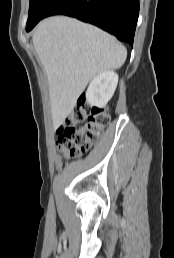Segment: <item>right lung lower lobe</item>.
Here are the masks:
<instances>
[{"mask_svg":"<svg viewBox=\"0 0 174 258\" xmlns=\"http://www.w3.org/2000/svg\"><path fill=\"white\" fill-rule=\"evenodd\" d=\"M52 15H67L94 24L132 46L139 0H57L45 13V17Z\"/></svg>","mask_w":174,"mask_h":258,"instance_id":"98d812e1","label":"right lung lower lobe"}]
</instances>
